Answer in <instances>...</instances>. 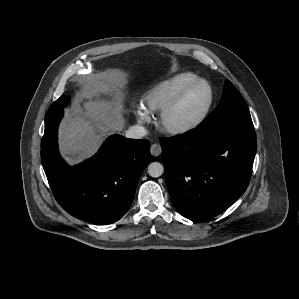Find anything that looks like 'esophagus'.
<instances>
[{"instance_id":"esophagus-1","label":"esophagus","mask_w":299,"mask_h":299,"mask_svg":"<svg viewBox=\"0 0 299 299\" xmlns=\"http://www.w3.org/2000/svg\"><path fill=\"white\" fill-rule=\"evenodd\" d=\"M150 152L153 156H159L162 152L161 146L157 143L152 144Z\"/></svg>"}]
</instances>
